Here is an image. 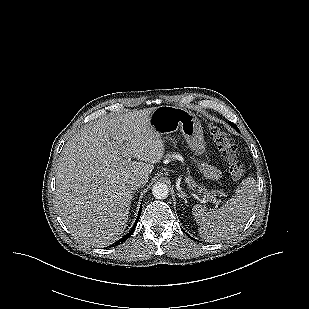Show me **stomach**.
<instances>
[{"label":"stomach","mask_w":309,"mask_h":309,"mask_svg":"<svg viewBox=\"0 0 309 309\" xmlns=\"http://www.w3.org/2000/svg\"><path fill=\"white\" fill-rule=\"evenodd\" d=\"M149 125L155 132L165 137L180 130L194 155L200 156L204 153L201 123L191 111L175 106H160L151 112Z\"/></svg>","instance_id":"obj_1"}]
</instances>
